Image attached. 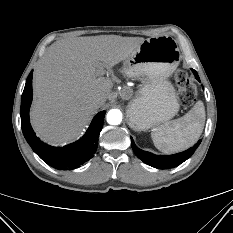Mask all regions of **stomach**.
<instances>
[{
    "label": "stomach",
    "mask_w": 233,
    "mask_h": 233,
    "mask_svg": "<svg viewBox=\"0 0 233 233\" xmlns=\"http://www.w3.org/2000/svg\"><path fill=\"white\" fill-rule=\"evenodd\" d=\"M177 42L169 36L144 40L123 61V72L142 81L127 108V121L135 131H147L172 119L179 110L176 91L168 80L179 65Z\"/></svg>",
    "instance_id": "stomach-1"
}]
</instances>
